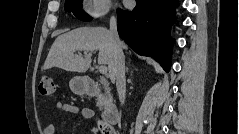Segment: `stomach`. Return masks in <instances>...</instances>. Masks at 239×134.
<instances>
[{
    "instance_id": "obj_1",
    "label": "stomach",
    "mask_w": 239,
    "mask_h": 134,
    "mask_svg": "<svg viewBox=\"0 0 239 134\" xmlns=\"http://www.w3.org/2000/svg\"><path fill=\"white\" fill-rule=\"evenodd\" d=\"M69 85L77 95H83L88 91V82L85 77L76 76L70 80Z\"/></svg>"
}]
</instances>
